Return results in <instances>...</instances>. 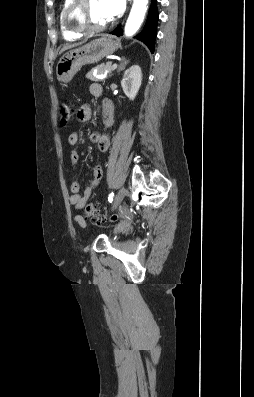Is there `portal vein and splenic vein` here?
I'll return each mask as SVG.
<instances>
[{
	"instance_id": "portal-vein-and-splenic-vein-1",
	"label": "portal vein and splenic vein",
	"mask_w": 254,
	"mask_h": 397,
	"mask_svg": "<svg viewBox=\"0 0 254 397\" xmlns=\"http://www.w3.org/2000/svg\"><path fill=\"white\" fill-rule=\"evenodd\" d=\"M116 67H117V64H116V63L112 65V69H115ZM105 74H107V71H106ZM104 77H105V75H100V76H98V78H104Z\"/></svg>"
}]
</instances>
